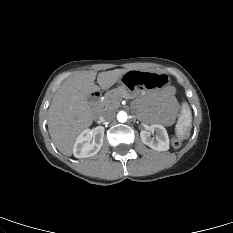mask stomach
<instances>
[{
	"instance_id": "1",
	"label": "stomach",
	"mask_w": 233,
	"mask_h": 233,
	"mask_svg": "<svg viewBox=\"0 0 233 233\" xmlns=\"http://www.w3.org/2000/svg\"><path fill=\"white\" fill-rule=\"evenodd\" d=\"M169 78L165 73L154 71H127L120 75L119 84L133 95L166 86Z\"/></svg>"
}]
</instances>
